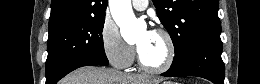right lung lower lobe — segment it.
<instances>
[{"label":"right lung lower lobe","instance_id":"obj_1","mask_svg":"<svg viewBox=\"0 0 260 84\" xmlns=\"http://www.w3.org/2000/svg\"><path fill=\"white\" fill-rule=\"evenodd\" d=\"M89 65H90V66H96V65H100V64L93 63V62L80 63V64H78V65H75V66H73V67L67 69V70L60 76V78H59L58 80H60L62 77H64L65 75H67L69 72H71V71H73V70H75V69H77V68H79V67L89 66ZM58 80H57V81H58ZM57 81H56V83H57Z\"/></svg>","mask_w":260,"mask_h":84}]
</instances>
